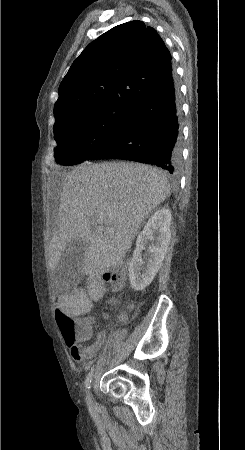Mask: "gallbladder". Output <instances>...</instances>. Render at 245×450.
<instances>
[{
	"label": "gallbladder",
	"mask_w": 245,
	"mask_h": 450,
	"mask_svg": "<svg viewBox=\"0 0 245 450\" xmlns=\"http://www.w3.org/2000/svg\"><path fill=\"white\" fill-rule=\"evenodd\" d=\"M88 247V242L74 239L67 245L66 250L62 254L61 260L56 267L55 275L67 287L83 279L84 256Z\"/></svg>",
	"instance_id": "1"
}]
</instances>
